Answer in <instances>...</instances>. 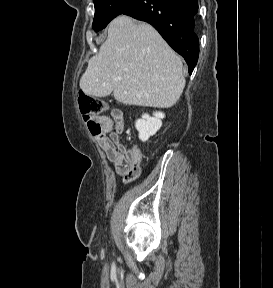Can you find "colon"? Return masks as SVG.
<instances>
[{
	"mask_svg": "<svg viewBox=\"0 0 273 288\" xmlns=\"http://www.w3.org/2000/svg\"><path fill=\"white\" fill-rule=\"evenodd\" d=\"M80 112L89 131L96 137L102 135L101 124L98 118L106 111L103 100L81 93L78 97Z\"/></svg>",
	"mask_w": 273,
	"mask_h": 288,
	"instance_id": "5ec220e1",
	"label": "colon"
}]
</instances>
